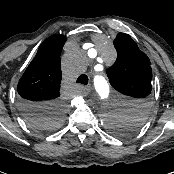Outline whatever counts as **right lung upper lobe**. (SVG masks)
I'll return each mask as SVG.
<instances>
[{
	"label": "right lung upper lobe",
	"instance_id": "1",
	"mask_svg": "<svg viewBox=\"0 0 174 174\" xmlns=\"http://www.w3.org/2000/svg\"><path fill=\"white\" fill-rule=\"evenodd\" d=\"M65 41V36L55 34L40 45L36 56L18 83L20 100L60 103V54Z\"/></svg>",
	"mask_w": 174,
	"mask_h": 174
}]
</instances>
